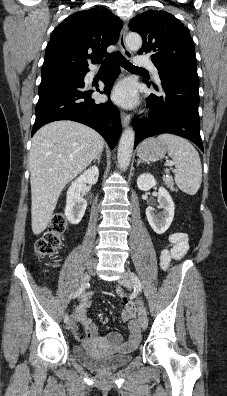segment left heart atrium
<instances>
[{
	"mask_svg": "<svg viewBox=\"0 0 227 396\" xmlns=\"http://www.w3.org/2000/svg\"><path fill=\"white\" fill-rule=\"evenodd\" d=\"M111 98L119 105L125 107L133 106L137 99L134 84L128 80L120 82L114 87Z\"/></svg>",
	"mask_w": 227,
	"mask_h": 396,
	"instance_id": "39dd6f15",
	"label": "left heart atrium"
}]
</instances>
